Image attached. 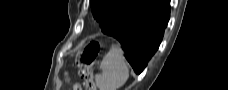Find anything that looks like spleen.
Returning a JSON list of instances; mask_svg holds the SVG:
<instances>
[{
	"instance_id": "3e777b00",
	"label": "spleen",
	"mask_w": 228,
	"mask_h": 90,
	"mask_svg": "<svg viewBox=\"0 0 228 90\" xmlns=\"http://www.w3.org/2000/svg\"><path fill=\"white\" fill-rule=\"evenodd\" d=\"M100 68L101 74L95 75V82L99 90H118L129 77V69L122 49L113 45L104 56Z\"/></svg>"
}]
</instances>
